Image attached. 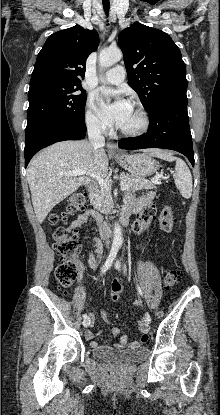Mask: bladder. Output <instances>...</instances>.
Instances as JSON below:
<instances>
[{"label":"bladder","instance_id":"obj_1","mask_svg":"<svg viewBox=\"0 0 220 415\" xmlns=\"http://www.w3.org/2000/svg\"><path fill=\"white\" fill-rule=\"evenodd\" d=\"M92 352L97 358L115 365H129L137 363L143 361L148 355V349L145 347L122 351L104 347H93Z\"/></svg>","mask_w":220,"mask_h":415}]
</instances>
